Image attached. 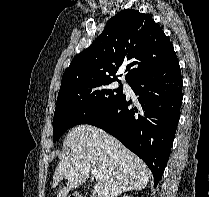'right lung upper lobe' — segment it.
I'll use <instances>...</instances> for the list:
<instances>
[{"mask_svg":"<svg viewBox=\"0 0 209 197\" xmlns=\"http://www.w3.org/2000/svg\"><path fill=\"white\" fill-rule=\"evenodd\" d=\"M173 53L172 43L151 16L123 10L107 22L89 48L76 55L63 74L60 89L79 83L118 80L114 76L121 65H127L126 80L131 83Z\"/></svg>","mask_w":209,"mask_h":197,"instance_id":"obj_1","label":"right lung upper lobe"}]
</instances>
